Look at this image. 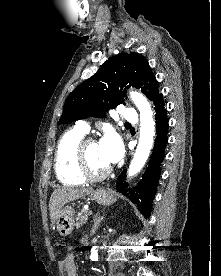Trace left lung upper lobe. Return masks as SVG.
<instances>
[{
    "mask_svg": "<svg viewBox=\"0 0 221 276\" xmlns=\"http://www.w3.org/2000/svg\"><path fill=\"white\" fill-rule=\"evenodd\" d=\"M125 86L141 89L151 101L160 94L147 59L135 52L120 53L110 57L95 75L68 96L59 123L105 117L109 109L125 104L126 93L122 91Z\"/></svg>",
    "mask_w": 221,
    "mask_h": 276,
    "instance_id": "5c2ea615",
    "label": "left lung upper lobe"
}]
</instances>
